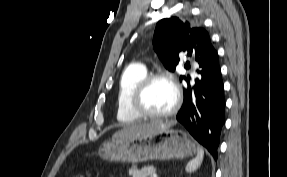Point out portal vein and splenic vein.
Masks as SVG:
<instances>
[{
    "instance_id": "obj_1",
    "label": "portal vein and splenic vein",
    "mask_w": 287,
    "mask_h": 177,
    "mask_svg": "<svg viewBox=\"0 0 287 177\" xmlns=\"http://www.w3.org/2000/svg\"><path fill=\"white\" fill-rule=\"evenodd\" d=\"M151 177H157V175H155V173H154V174L151 175Z\"/></svg>"
}]
</instances>
